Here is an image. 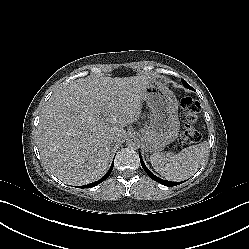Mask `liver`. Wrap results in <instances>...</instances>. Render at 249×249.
I'll use <instances>...</instances> for the list:
<instances>
[{
	"label": "liver",
	"instance_id": "liver-1",
	"mask_svg": "<svg viewBox=\"0 0 249 249\" xmlns=\"http://www.w3.org/2000/svg\"><path fill=\"white\" fill-rule=\"evenodd\" d=\"M150 79H87L70 84L46 105L38 126L41 160L52 171L75 175L74 182L100 179L110 162V137L141 115Z\"/></svg>",
	"mask_w": 249,
	"mask_h": 249
}]
</instances>
